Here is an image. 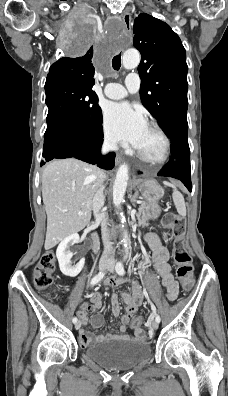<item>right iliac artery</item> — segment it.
Listing matches in <instances>:
<instances>
[{"instance_id":"obj_1","label":"right iliac artery","mask_w":228,"mask_h":396,"mask_svg":"<svg viewBox=\"0 0 228 396\" xmlns=\"http://www.w3.org/2000/svg\"><path fill=\"white\" fill-rule=\"evenodd\" d=\"M105 273L104 272H100L99 274H97L96 276H94L90 282V284L93 286L95 284H97L103 277H104ZM73 323L75 324L77 322V318L74 317L73 318Z\"/></svg>"}]
</instances>
